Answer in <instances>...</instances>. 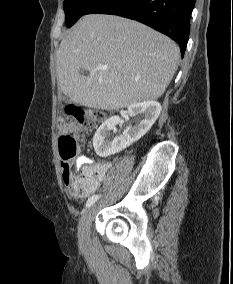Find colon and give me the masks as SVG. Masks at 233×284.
I'll list each match as a JSON object with an SVG mask.
<instances>
[{"mask_svg": "<svg viewBox=\"0 0 233 284\" xmlns=\"http://www.w3.org/2000/svg\"><path fill=\"white\" fill-rule=\"evenodd\" d=\"M66 114L72 117L78 125L91 131L104 119L105 114L99 110L86 109L77 104H69ZM60 160L63 181L68 191L74 195H87L94 187L93 178L85 173L76 162L78 151L77 138L72 133H66L59 138Z\"/></svg>", "mask_w": 233, "mask_h": 284, "instance_id": "1", "label": "colon"}]
</instances>
